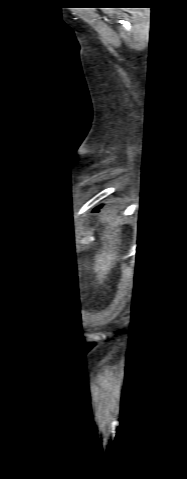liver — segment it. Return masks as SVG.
Returning <instances> with one entry per match:
<instances>
[{
    "mask_svg": "<svg viewBox=\"0 0 187 479\" xmlns=\"http://www.w3.org/2000/svg\"><path fill=\"white\" fill-rule=\"evenodd\" d=\"M112 223L111 219H108ZM120 229L113 227L104 231L101 237L103 242V250L96 255L93 270L97 274V278L102 281L110 272L117 256V244L119 243Z\"/></svg>",
    "mask_w": 187,
    "mask_h": 479,
    "instance_id": "obj_1",
    "label": "liver"
}]
</instances>
